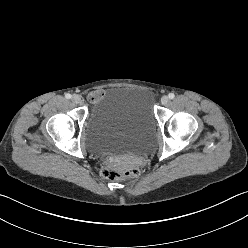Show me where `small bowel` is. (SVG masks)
<instances>
[{
	"mask_svg": "<svg viewBox=\"0 0 248 248\" xmlns=\"http://www.w3.org/2000/svg\"><path fill=\"white\" fill-rule=\"evenodd\" d=\"M102 92L101 91H95L91 94V99L92 100H98L101 96H102Z\"/></svg>",
	"mask_w": 248,
	"mask_h": 248,
	"instance_id": "small-bowel-1",
	"label": "small bowel"
}]
</instances>
